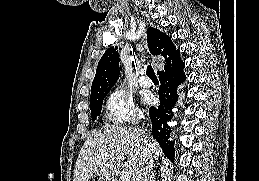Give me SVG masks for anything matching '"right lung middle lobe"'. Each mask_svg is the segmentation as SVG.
I'll list each match as a JSON object with an SVG mask.
<instances>
[{"label": "right lung middle lobe", "mask_w": 259, "mask_h": 181, "mask_svg": "<svg viewBox=\"0 0 259 181\" xmlns=\"http://www.w3.org/2000/svg\"><path fill=\"white\" fill-rule=\"evenodd\" d=\"M107 94L108 92L91 98L90 109H91L92 120H95L97 116L100 115L103 99L104 97H106Z\"/></svg>", "instance_id": "obj_1"}]
</instances>
